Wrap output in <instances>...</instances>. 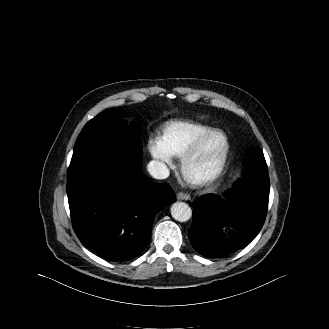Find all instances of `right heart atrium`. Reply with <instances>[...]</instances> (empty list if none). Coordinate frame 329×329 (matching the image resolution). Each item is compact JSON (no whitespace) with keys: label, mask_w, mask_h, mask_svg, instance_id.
<instances>
[{"label":"right heart atrium","mask_w":329,"mask_h":329,"mask_svg":"<svg viewBox=\"0 0 329 329\" xmlns=\"http://www.w3.org/2000/svg\"><path fill=\"white\" fill-rule=\"evenodd\" d=\"M151 156L163 166L172 164V156L163 148L159 141L151 140L148 144Z\"/></svg>","instance_id":"d8ad5b80"}]
</instances>
